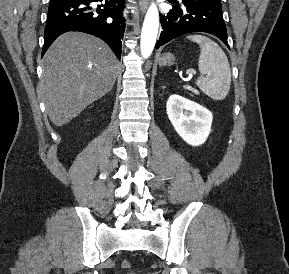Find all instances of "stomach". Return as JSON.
<instances>
[{"instance_id":"stomach-1","label":"stomach","mask_w":289,"mask_h":274,"mask_svg":"<svg viewBox=\"0 0 289 274\" xmlns=\"http://www.w3.org/2000/svg\"><path fill=\"white\" fill-rule=\"evenodd\" d=\"M175 60V57L171 53H165L162 55V57L159 59V62L161 65L166 66V65H172Z\"/></svg>"}]
</instances>
